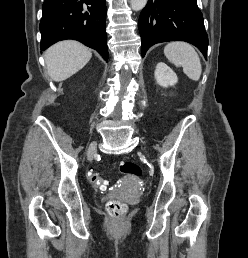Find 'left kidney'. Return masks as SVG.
Masks as SVG:
<instances>
[{"label":"left kidney","mask_w":248,"mask_h":258,"mask_svg":"<svg viewBox=\"0 0 248 258\" xmlns=\"http://www.w3.org/2000/svg\"><path fill=\"white\" fill-rule=\"evenodd\" d=\"M154 75L157 83L162 87L173 86L178 81L176 73L163 62L157 64Z\"/></svg>","instance_id":"5707ae66"}]
</instances>
